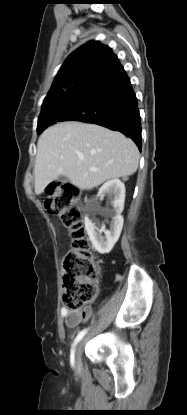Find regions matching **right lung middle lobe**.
Listing matches in <instances>:
<instances>
[{
  "mask_svg": "<svg viewBox=\"0 0 187 415\" xmlns=\"http://www.w3.org/2000/svg\"><path fill=\"white\" fill-rule=\"evenodd\" d=\"M74 88L75 87L71 88L67 92H69V93L72 92L74 90ZM62 99H59L54 104H52L50 107H48L46 109H42V111L39 115V118H38V125H37L38 134L41 133L42 131H44L48 126H50V116H51L52 112L55 111L56 108L59 106Z\"/></svg>",
  "mask_w": 187,
  "mask_h": 415,
  "instance_id": "obj_1",
  "label": "right lung middle lobe"
}]
</instances>
